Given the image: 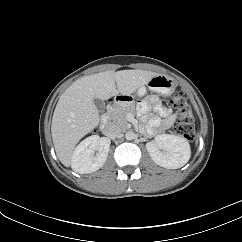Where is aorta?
<instances>
[{"label": "aorta", "instance_id": "obj_1", "mask_svg": "<svg viewBox=\"0 0 242 242\" xmlns=\"http://www.w3.org/2000/svg\"><path fill=\"white\" fill-rule=\"evenodd\" d=\"M134 137H135V134H134V132H132V131H127V132L125 133V138H126L127 140H133Z\"/></svg>", "mask_w": 242, "mask_h": 242}]
</instances>
